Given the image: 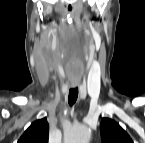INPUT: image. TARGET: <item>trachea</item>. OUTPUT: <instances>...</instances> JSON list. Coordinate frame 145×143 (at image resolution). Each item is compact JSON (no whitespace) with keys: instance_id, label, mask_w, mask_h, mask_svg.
I'll return each instance as SVG.
<instances>
[{"instance_id":"trachea-1","label":"trachea","mask_w":145,"mask_h":143,"mask_svg":"<svg viewBox=\"0 0 145 143\" xmlns=\"http://www.w3.org/2000/svg\"><path fill=\"white\" fill-rule=\"evenodd\" d=\"M77 97H78V88L77 87L71 88L69 90V96H68L69 105L72 106L76 102Z\"/></svg>"}]
</instances>
